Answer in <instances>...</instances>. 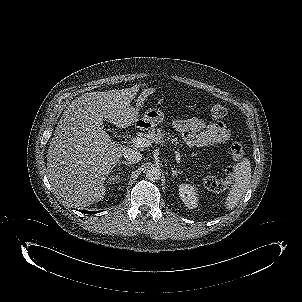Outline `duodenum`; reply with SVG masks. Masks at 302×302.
<instances>
[{
  "label": "duodenum",
  "instance_id": "410a0bca",
  "mask_svg": "<svg viewBox=\"0 0 302 302\" xmlns=\"http://www.w3.org/2000/svg\"><path fill=\"white\" fill-rule=\"evenodd\" d=\"M136 126H137V127H140V126H141V122H137V123H136Z\"/></svg>",
  "mask_w": 302,
  "mask_h": 302
}]
</instances>
